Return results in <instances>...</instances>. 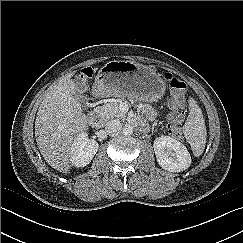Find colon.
Returning a JSON list of instances; mask_svg holds the SVG:
<instances>
[{
    "label": "colon",
    "instance_id": "colon-1",
    "mask_svg": "<svg viewBox=\"0 0 243 243\" xmlns=\"http://www.w3.org/2000/svg\"><path fill=\"white\" fill-rule=\"evenodd\" d=\"M92 75V68L86 67L75 75L74 80L78 83H85L92 77ZM165 79L167 80L174 96L171 101V105L176 108V110L168 117L167 130L172 137L179 138L182 135V123L185 114L182 110V106L186 84L171 73H167L165 75Z\"/></svg>",
    "mask_w": 243,
    "mask_h": 243
}]
</instances>
